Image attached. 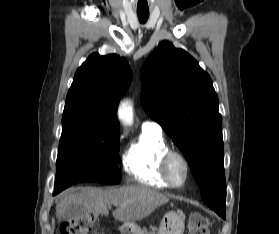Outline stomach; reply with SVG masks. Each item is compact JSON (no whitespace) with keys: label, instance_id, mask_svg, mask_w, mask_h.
<instances>
[{"label":"stomach","instance_id":"1","mask_svg":"<svg viewBox=\"0 0 279 234\" xmlns=\"http://www.w3.org/2000/svg\"><path fill=\"white\" fill-rule=\"evenodd\" d=\"M185 216L176 211L166 213L159 225L157 234H183ZM122 234H147L136 223L127 222L120 227Z\"/></svg>","mask_w":279,"mask_h":234}]
</instances>
